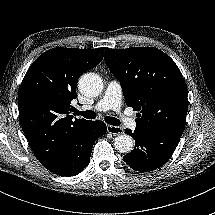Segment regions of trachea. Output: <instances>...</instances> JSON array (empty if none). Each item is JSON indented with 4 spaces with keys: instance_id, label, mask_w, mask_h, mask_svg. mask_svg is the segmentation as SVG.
Returning a JSON list of instances; mask_svg holds the SVG:
<instances>
[{
    "instance_id": "1",
    "label": "trachea",
    "mask_w": 215,
    "mask_h": 215,
    "mask_svg": "<svg viewBox=\"0 0 215 215\" xmlns=\"http://www.w3.org/2000/svg\"><path fill=\"white\" fill-rule=\"evenodd\" d=\"M73 112L76 114V115H81L83 116L84 118L86 119H94L96 117V114L94 111H91V110H87V111H78L77 109H73ZM105 121L110 124V125H113V126H118L120 125V120L119 119H116L114 117H105Z\"/></svg>"
}]
</instances>
